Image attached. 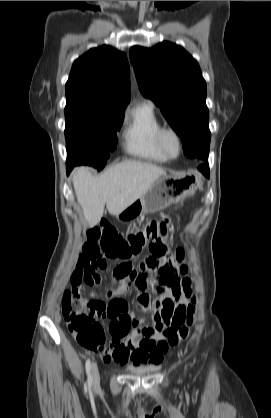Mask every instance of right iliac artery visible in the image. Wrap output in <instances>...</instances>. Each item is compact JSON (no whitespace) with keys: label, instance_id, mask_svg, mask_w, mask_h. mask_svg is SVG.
Masks as SVG:
<instances>
[{"label":"right iliac artery","instance_id":"obj_1","mask_svg":"<svg viewBox=\"0 0 271 418\" xmlns=\"http://www.w3.org/2000/svg\"><path fill=\"white\" fill-rule=\"evenodd\" d=\"M85 367H86V373H87L88 388L91 389L92 384H93V378H92V374H91V361H90V359H87Z\"/></svg>","mask_w":271,"mask_h":418}]
</instances>
